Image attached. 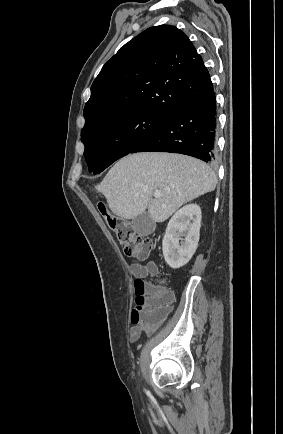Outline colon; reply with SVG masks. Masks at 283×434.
Here are the masks:
<instances>
[{"label": "colon", "mask_w": 283, "mask_h": 434, "mask_svg": "<svg viewBox=\"0 0 283 434\" xmlns=\"http://www.w3.org/2000/svg\"><path fill=\"white\" fill-rule=\"evenodd\" d=\"M99 210L122 244L124 253L140 261L146 260L153 249V240L137 234L128 221L110 213L104 204H99ZM135 293L136 302L131 312V323L141 327L144 332L151 333L168 315L173 297L163 287L143 279L135 281Z\"/></svg>", "instance_id": "obj_1"}]
</instances>
